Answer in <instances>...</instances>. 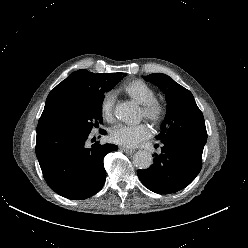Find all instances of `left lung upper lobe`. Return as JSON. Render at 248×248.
Wrapping results in <instances>:
<instances>
[{
    "label": "left lung upper lobe",
    "mask_w": 248,
    "mask_h": 248,
    "mask_svg": "<svg viewBox=\"0 0 248 248\" xmlns=\"http://www.w3.org/2000/svg\"><path fill=\"white\" fill-rule=\"evenodd\" d=\"M144 79L166 95L167 113L156 138L161 142L179 141L203 152L207 141L205 121L192 93L162 73L144 76Z\"/></svg>",
    "instance_id": "5c2ea615"
}]
</instances>
